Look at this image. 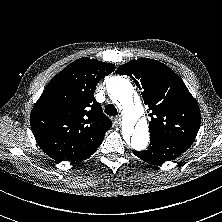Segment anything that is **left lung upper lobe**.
Listing matches in <instances>:
<instances>
[{
    "label": "left lung upper lobe",
    "instance_id": "5c2ea615",
    "mask_svg": "<svg viewBox=\"0 0 222 222\" xmlns=\"http://www.w3.org/2000/svg\"><path fill=\"white\" fill-rule=\"evenodd\" d=\"M117 73L130 76L141 90L151 117L150 137L194 141L201 122L200 109L171 68L153 59L139 58L120 65Z\"/></svg>",
    "mask_w": 222,
    "mask_h": 222
}]
</instances>
